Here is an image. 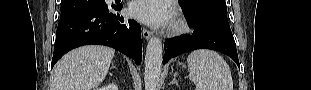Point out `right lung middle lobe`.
Instances as JSON below:
<instances>
[{"label": "right lung middle lobe", "mask_w": 311, "mask_h": 90, "mask_svg": "<svg viewBox=\"0 0 311 90\" xmlns=\"http://www.w3.org/2000/svg\"><path fill=\"white\" fill-rule=\"evenodd\" d=\"M60 19L79 11L108 8L105 0H62Z\"/></svg>", "instance_id": "obj_1"}]
</instances>
